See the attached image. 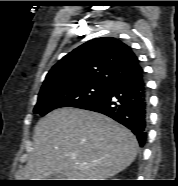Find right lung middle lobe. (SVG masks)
Returning <instances> with one entry per match:
<instances>
[{"instance_id":"dd1d6c3e","label":"right lung middle lobe","mask_w":178,"mask_h":186,"mask_svg":"<svg viewBox=\"0 0 178 186\" xmlns=\"http://www.w3.org/2000/svg\"><path fill=\"white\" fill-rule=\"evenodd\" d=\"M108 86L109 84L89 83L40 92L34 113L44 116L57 108L79 107L100 95Z\"/></svg>"}]
</instances>
